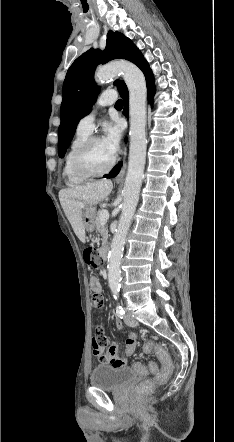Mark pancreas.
I'll list each match as a JSON object with an SVG mask.
<instances>
[{
    "label": "pancreas",
    "mask_w": 234,
    "mask_h": 442,
    "mask_svg": "<svg viewBox=\"0 0 234 442\" xmlns=\"http://www.w3.org/2000/svg\"><path fill=\"white\" fill-rule=\"evenodd\" d=\"M103 209L99 210L95 216V227L96 231H98L102 236V244L105 245L108 241L109 233L106 224L102 223L100 220V212Z\"/></svg>",
    "instance_id": "1"
}]
</instances>
